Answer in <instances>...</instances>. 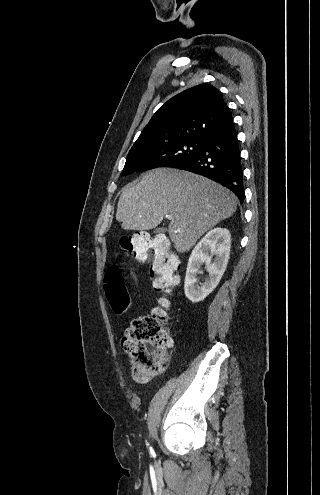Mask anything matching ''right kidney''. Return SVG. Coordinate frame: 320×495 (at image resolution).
<instances>
[{
    "mask_svg": "<svg viewBox=\"0 0 320 495\" xmlns=\"http://www.w3.org/2000/svg\"><path fill=\"white\" fill-rule=\"evenodd\" d=\"M230 247V232L220 227L209 231L197 243L188 260L184 284L185 296L191 302L202 301L219 284L228 264ZM202 264L206 265L209 276L198 284L197 274Z\"/></svg>",
    "mask_w": 320,
    "mask_h": 495,
    "instance_id": "1",
    "label": "right kidney"
}]
</instances>
